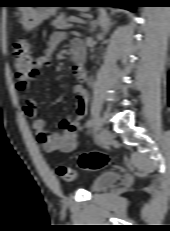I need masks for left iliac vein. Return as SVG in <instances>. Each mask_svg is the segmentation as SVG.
I'll use <instances>...</instances> for the list:
<instances>
[{"label":"left iliac vein","mask_w":170,"mask_h":231,"mask_svg":"<svg viewBox=\"0 0 170 231\" xmlns=\"http://www.w3.org/2000/svg\"><path fill=\"white\" fill-rule=\"evenodd\" d=\"M100 136L104 145H108L113 138L111 132L106 128L101 130Z\"/></svg>","instance_id":"4c4485c4"}]
</instances>
